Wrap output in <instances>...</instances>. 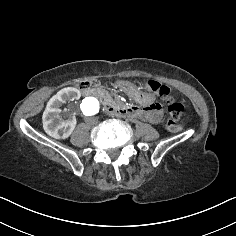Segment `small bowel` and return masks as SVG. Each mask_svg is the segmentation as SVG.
Masks as SVG:
<instances>
[{
  "mask_svg": "<svg viewBox=\"0 0 236 236\" xmlns=\"http://www.w3.org/2000/svg\"><path fill=\"white\" fill-rule=\"evenodd\" d=\"M140 116L152 123H158L162 117L161 107L158 104H152L147 107L139 108Z\"/></svg>",
  "mask_w": 236,
  "mask_h": 236,
  "instance_id": "obj_1",
  "label": "small bowel"
}]
</instances>
